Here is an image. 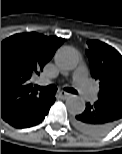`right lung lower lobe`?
<instances>
[{
    "mask_svg": "<svg viewBox=\"0 0 122 154\" xmlns=\"http://www.w3.org/2000/svg\"><path fill=\"white\" fill-rule=\"evenodd\" d=\"M55 100L54 94H48L42 101L27 107L7 123L15 128H28L37 125L48 114Z\"/></svg>",
    "mask_w": 122,
    "mask_h": 154,
    "instance_id": "1",
    "label": "right lung lower lobe"
}]
</instances>
